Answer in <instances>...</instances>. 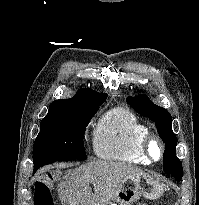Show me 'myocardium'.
Wrapping results in <instances>:
<instances>
[{
	"label": "myocardium",
	"instance_id": "myocardium-1",
	"mask_svg": "<svg viewBox=\"0 0 199 205\" xmlns=\"http://www.w3.org/2000/svg\"><path fill=\"white\" fill-rule=\"evenodd\" d=\"M154 148L158 150L157 158L153 155ZM140 151L149 162L155 163L163 158L164 146L161 139L156 134L149 132L141 139Z\"/></svg>",
	"mask_w": 199,
	"mask_h": 205
}]
</instances>
